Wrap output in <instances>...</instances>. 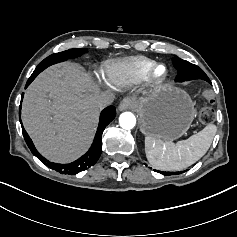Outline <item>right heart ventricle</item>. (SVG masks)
Wrapping results in <instances>:
<instances>
[{
  "label": "right heart ventricle",
  "instance_id": "e07e8e85",
  "mask_svg": "<svg viewBox=\"0 0 237 237\" xmlns=\"http://www.w3.org/2000/svg\"><path fill=\"white\" fill-rule=\"evenodd\" d=\"M154 62L145 57H131L107 63L106 76L117 86L126 87L139 82Z\"/></svg>",
  "mask_w": 237,
  "mask_h": 237
}]
</instances>
